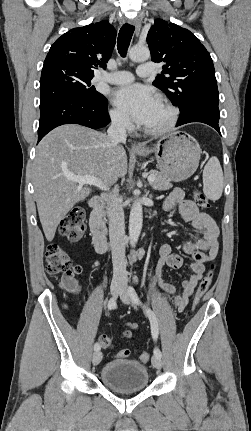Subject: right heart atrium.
Listing matches in <instances>:
<instances>
[{"label":"right heart atrium","instance_id":"right-heart-atrium-1","mask_svg":"<svg viewBox=\"0 0 251 431\" xmlns=\"http://www.w3.org/2000/svg\"><path fill=\"white\" fill-rule=\"evenodd\" d=\"M111 123L120 130L129 131L132 129V122L130 118L118 109H112L110 111Z\"/></svg>","mask_w":251,"mask_h":431}]
</instances>
